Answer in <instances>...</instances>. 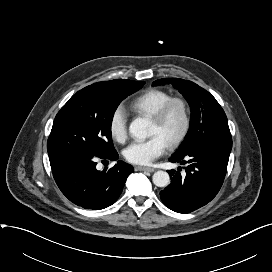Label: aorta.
<instances>
[{
	"label": "aorta",
	"mask_w": 272,
	"mask_h": 272,
	"mask_svg": "<svg viewBox=\"0 0 272 272\" xmlns=\"http://www.w3.org/2000/svg\"><path fill=\"white\" fill-rule=\"evenodd\" d=\"M152 124L148 119L136 118L129 126L130 134L139 140L149 136ZM153 183L157 187H166L170 183L169 174L166 171H157L152 176Z\"/></svg>",
	"instance_id": "aorta-1"
}]
</instances>
